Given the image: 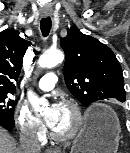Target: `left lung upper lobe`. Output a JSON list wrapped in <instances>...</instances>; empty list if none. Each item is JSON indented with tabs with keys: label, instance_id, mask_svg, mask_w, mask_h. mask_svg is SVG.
Segmentation results:
<instances>
[{
	"label": "left lung upper lobe",
	"instance_id": "left-lung-upper-lobe-1",
	"mask_svg": "<svg viewBox=\"0 0 130 153\" xmlns=\"http://www.w3.org/2000/svg\"><path fill=\"white\" fill-rule=\"evenodd\" d=\"M60 45L66 56V86L79 102L90 105L109 98L125 100L122 69L108 46L75 26L68 29Z\"/></svg>",
	"mask_w": 130,
	"mask_h": 153
}]
</instances>
